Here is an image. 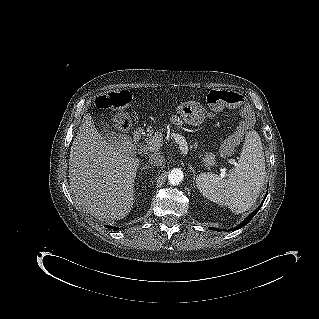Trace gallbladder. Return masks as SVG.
I'll list each match as a JSON object with an SVG mask.
<instances>
[{
  "label": "gallbladder",
  "instance_id": "obj_1",
  "mask_svg": "<svg viewBox=\"0 0 319 319\" xmlns=\"http://www.w3.org/2000/svg\"><path fill=\"white\" fill-rule=\"evenodd\" d=\"M102 124L105 126L104 129H103V131H105V132L108 131V130H107L108 125L104 124L103 122H102ZM108 138H109V137H108Z\"/></svg>",
  "mask_w": 319,
  "mask_h": 319
}]
</instances>
